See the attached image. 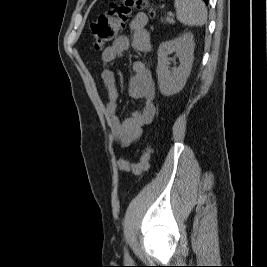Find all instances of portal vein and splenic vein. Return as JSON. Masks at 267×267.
I'll list each match as a JSON object with an SVG mask.
<instances>
[{"label": "portal vein and splenic vein", "instance_id": "portal-vein-and-splenic-vein-1", "mask_svg": "<svg viewBox=\"0 0 267 267\" xmlns=\"http://www.w3.org/2000/svg\"><path fill=\"white\" fill-rule=\"evenodd\" d=\"M168 14L171 16L172 15V12H168Z\"/></svg>", "mask_w": 267, "mask_h": 267}]
</instances>
